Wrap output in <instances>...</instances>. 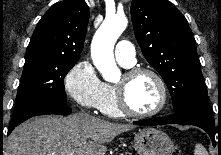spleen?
<instances>
[{"mask_svg":"<svg viewBox=\"0 0 221 155\" xmlns=\"http://www.w3.org/2000/svg\"><path fill=\"white\" fill-rule=\"evenodd\" d=\"M194 155H208V153L202 144H197L195 146Z\"/></svg>","mask_w":221,"mask_h":155,"instance_id":"1","label":"spleen"}]
</instances>
